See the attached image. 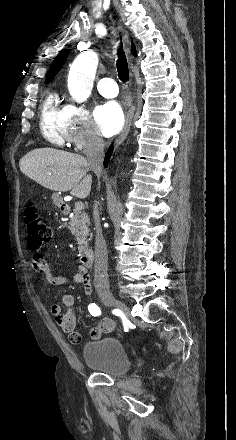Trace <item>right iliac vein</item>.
<instances>
[{
  "mask_svg": "<svg viewBox=\"0 0 236 440\" xmlns=\"http://www.w3.org/2000/svg\"><path fill=\"white\" fill-rule=\"evenodd\" d=\"M100 298L106 306L116 307L120 309L126 316L130 315L129 308L127 307V305L124 302L116 299L109 291L101 292Z\"/></svg>",
  "mask_w": 236,
  "mask_h": 440,
  "instance_id": "63e3f726",
  "label": "right iliac vein"
}]
</instances>
